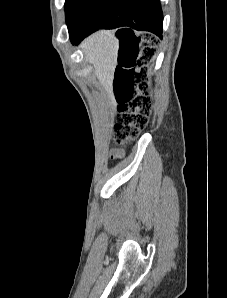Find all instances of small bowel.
Segmentation results:
<instances>
[{"label":"small bowel","instance_id":"obj_1","mask_svg":"<svg viewBox=\"0 0 227 298\" xmlns=\"http://www.w3.org/2000/svg\"><path fill=\"white\" fill-rule=\"evenodd\" d=\"M124 155V152L121 149H112L110 151V158L111 159H119L122 158Z\"/></svg>","mask_w":227,"mask_h":298}]
</instances>
